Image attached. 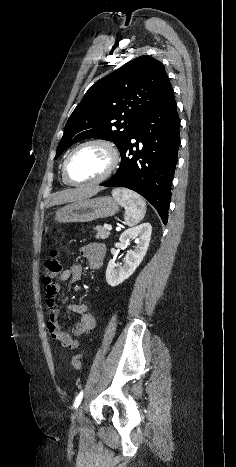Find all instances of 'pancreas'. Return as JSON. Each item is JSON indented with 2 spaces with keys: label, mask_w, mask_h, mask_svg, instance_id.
<instances>
[{
  "label": "pancreas",
  "mask_w": 236,
  "mask_h": 467,
  "mask_svg": "<svg viewBox=\"0 0 236 467\" xmlns=\"http://www.w3.org/2000/svg\"><path fill=\"white\" fill-rule=\"evenodd\" d=\"M94 230L96 231V239H102V240H105L109 237L110 235V232L106 230V228L104 227H101L100 225L96 226L94 228Z\"/></svg>",
  "instance_id": "1"
}]
</instances>
